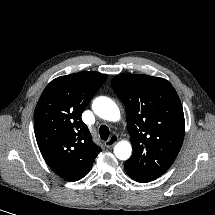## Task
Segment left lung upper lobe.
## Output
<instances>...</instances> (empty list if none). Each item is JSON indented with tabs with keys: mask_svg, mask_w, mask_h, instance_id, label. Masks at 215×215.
<instances>
[{
	"mask_svg": "<svg viewBox=\"0 0 215 215\" xmlns=\"http://www.w3.org/2000/svg\"><path fill=\"white\" fill-rule=\"evenodd\" d=\"M115 93L127 110L133 154L125 169L154 180L173 164L183 143L185 120L180 99L165 79L124 74L112 79Z\"/></svg>",
	"mask_w": 215,
	"mask_h": 215,
	"instance_id": "obj_1",
	"label": "left lung upper lobe"
}]
</instances>
